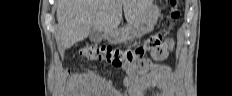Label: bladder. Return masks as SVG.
<instances>
[{
	"instance_id": "obj_1",
	"label": "bladder",
	"mask_w": 232,
	"mask_h": 96,
	"mask_svg": "<svg viewBox=\"0 0 232 96\" xmlns=\"http://www.w3.org/2000/svg\"><path fill=\"white\" fill-rule=\"evenodd\" d=\"M74 89H79V87L74 85Z\"/></svg>"
}]
</instances>
